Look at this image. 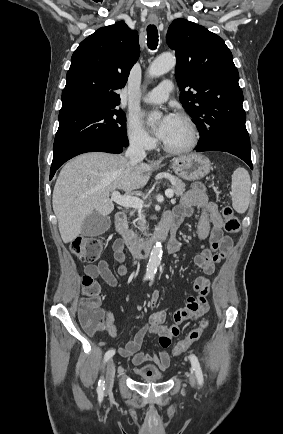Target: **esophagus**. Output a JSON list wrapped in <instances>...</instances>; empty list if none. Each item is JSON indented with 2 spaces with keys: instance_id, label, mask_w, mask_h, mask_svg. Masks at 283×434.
I'll return each instance as SVG.
<instances>
[{
  "instance_id": "34e87169",
  "label": "esophagus",
  "mask_w": 283,
  "mask_h": 434,
  "mask_svg": "<svg viewBox=\"0 0 283 434\" xmlns=\"http://www.w3.org/2000/svg\"><path fill=\"white\" fill-rule=\"evenodd\" d=\"M150 21H151V23H154V24L158 23V19L157 18H151Z\"/></svg>"
}]
</instances>
